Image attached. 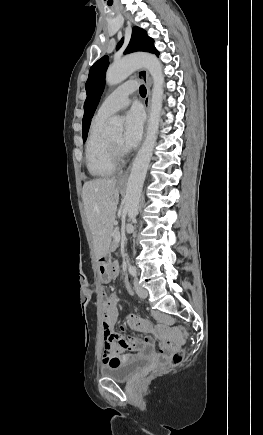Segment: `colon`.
<instances>
[{
    "instance_id": "1",
    "label": "colon",
    "mask_w": 263,
    "mask_h": 435,
    "mask_svg": "<svg viewBox=\"0 0 263 435\" xmlns=\"http://www.w3.org/2000/svg\"><path fill=\"white\" fill-rule=\"evenodd\" d=\"M104 292H101V296L104 297ZM106 301V300H105ZM104 301V303H105ZM103 303V306H104ZM177 329L179 328L183 334V339H188L189 335H188V331L186 329V327H183L182 324H177L175 326ZM101 335L103 336V341L101 343V348L102 350H111L113 348V343H114V339H115V330L114 328H103L101 330ZM182 360V354L181 353H174L171 357V361L172 363H179ZM163 369V366H160L158 368H156L153 372H159Z\"/></svg>"
}]
</instances>
